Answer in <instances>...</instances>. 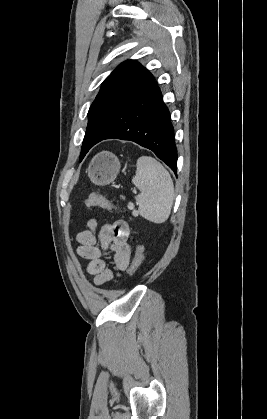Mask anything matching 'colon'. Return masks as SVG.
Returning a JSON list of instances; mask_svg holds the SVG:
<instances>
[{
	"instance_id": "colon-1",
	"label": "colon",
	"mask_w": 267,
	"mask_h": 419,
	"mask_svg": "<svg viewBox=\"0 0 267 419\" xmlns=\"http://www.w3.org/2000/svg\"><path fill=\"white\" fill-rule=\"evenodd\" d=\"M84 204L87 207H100V208L110 210V211H118L119 210V207L116 206L111 200H109L105 196L99 195V194H91L85 200ZM143 258H144L143 247L141 245H138L136 247L134 258H133V260L131 262V265L128 269V273L130 275H134L137 272L138 268L142 264Z\"/></svg>"
}]
</instances>
